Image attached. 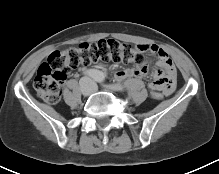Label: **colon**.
<instances>
[{
    "mask_svg": "<svg viewBox=\"0 0 219 174\" xmlns=\"http://www.w3.org/2000/svg\"><path fill=\"white\" fill-rule=\"evenodd\" d=\"M96 62L144 65L145 58L143 52L136 47L114 39L82 43L77 47L53 52L48 60L40 65L34 78V88L44 101L55 104L60 99L67 75L79 66ZM150 94L155 101L163 99L160 91L153 90Z\"/></svg>",
    "mask_w": 219,
    "mask_h": 174,
    "instance_id": "colon-1",
    "label": "colon"
}]
</instances>
